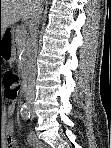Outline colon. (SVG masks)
<instances>
[{
  "label": "colon",
  "mask_w": 111,
  "mask_h": 148,
  "mask_svg": "<svg viewBox=\"0 0 111 148\" xmlns=\"http://www.w3.org/2000/svg\"><path fill=\"white\" fill-rule=\"evenodd\" d=\"M0 82L4 87L5 96L8 100L14 101L19 94L18 76L9 70L0 72Z\"/></svg>",
  "instance_id": "obj_1"
}]
</instances>
